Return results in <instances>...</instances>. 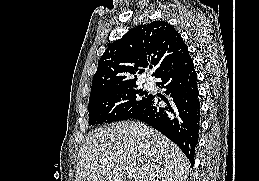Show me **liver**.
Returning <instances> with one entry per match:
<instances>
[{"mask_svg":"<svg viewBox=\"0 0 259 181\" xmlns=\"http://www.w3.org/2000/svg\"><path fill=\"white\" fill-rule=\"evenodd\" d=\"M189 160L180 148L142 122L125 121L94 131L81 146L75 181H185Z\"/></svg>","mask_w":259,"mask_h":181,"instance_id":"6515ba94","label":"liver"}]
</instances>
